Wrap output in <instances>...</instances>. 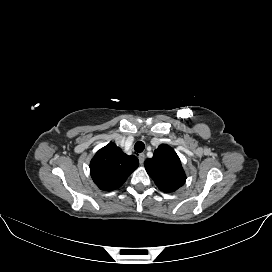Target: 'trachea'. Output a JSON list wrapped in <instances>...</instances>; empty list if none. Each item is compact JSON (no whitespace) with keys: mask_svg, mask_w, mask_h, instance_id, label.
I'll return each mask as SVG.
<instances>
[{"mask_svg":"<svg viewBox=\"0 0 272 272\" xmlns=\"http://www.w3.org/2000/svg\"><path fill=\"white\" fill-rule=\"evenodd\" d=\"M145 148V145L142 141H138L135 146H134V150L137 152V153H141Z\"/></svg>","mask_w":272,"mask_h":272,"instance_id":"1","label":"trachea"}]
</instances>
